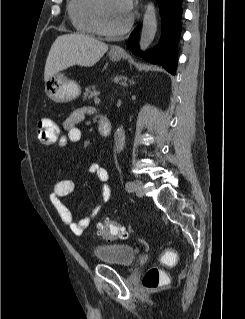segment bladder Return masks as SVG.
I'll use <instances>...</instances> for the list:
<instances>
[{
    "instance_id": "31cf9c89",
    "label": "bladder",
    "mask_w": 245,
    "mask_h": 319,
    "mask_svg": "<svg viewBox=\"0 0 245 319\" xmlns=\"http://www.w3.org/2000/svg\"><path fill=\"white\" fill-rule=\"evenodd\" d=\"M94 257L98 262L129 266L135 258V248L125 243L98 245L94 249Z\"/></svg>"
}]
</instances>
